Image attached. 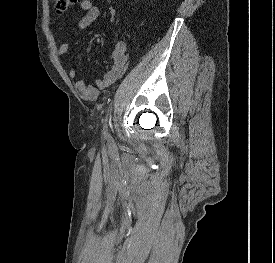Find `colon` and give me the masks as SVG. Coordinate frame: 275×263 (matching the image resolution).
Masks as SVG:
<instances>
[{
    "label": "colon",
    "mask_w": 275,
    "mask_h": 263,
    "mask_svg": "<svg viewBox=\"0 0 275 263\" xmlns=\"http://www.w3.org/2000/svg\"><path fill=\"white\" fill-rule=\"evenodd\" d=\"M76 0H54V7L58 13L65 12Z\"/></svg>",
    "instance_id": "colon-1"
}]
</instances>
